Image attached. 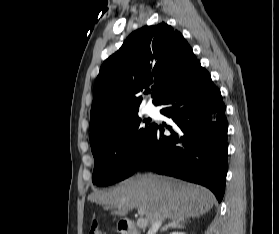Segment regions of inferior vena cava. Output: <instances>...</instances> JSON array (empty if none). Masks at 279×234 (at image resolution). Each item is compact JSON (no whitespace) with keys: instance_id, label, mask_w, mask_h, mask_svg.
Masks as SVG:
<instances>
[{"instance_id":"obj_1","label":"inferior vena cava","mask_w":279,"mask_h":234,"mask_svg":"<svg viewBox=\"0 0 279 234\" xmlns=\"http://www.w3.org/2000/svg\"><path fill=\"white\" fill-rule=\"evenodd\" d=\"M162 224V219H159L151 224L150 229L148 230L147 234H156Z\"/></svg>"}]
</instances>
